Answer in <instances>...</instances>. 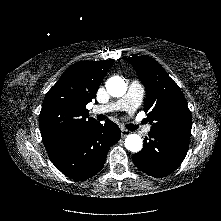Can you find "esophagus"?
Masks as SVG:
<instances>
[{
	"label": "esophagus",
	"mask_w": 221,
	"mask_h": 221,
	"mask_svg": "<svg viewBox=\"0 0 221 221\" xmlns=\"http://www.w3.org/2000/svg\"><path fill=\"white\" fill-rule=\"evenodd\" d=\"M129 134H130V131H129V130L124 129V128L121 129V135H122L123 137H126V136L129 135Z\"/></svg>",
	"instance_id": "1"
}]
</instances>
